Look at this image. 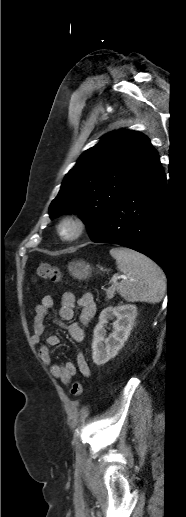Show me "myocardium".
<instances>
[{
    "label": "myocardium",
    "mask_w": 186,
    "mask_h": 517,
    "mask_svg": "<svg viewBox=\"0 0 186 517\" xmlns=\"http://www.w3.org/2000/svg\"><path fill=\"white\" fill-rule=\"evenodd\" d=\"M85 227V221L81 216L66 214L57 224V233L63 241L73 242L82 236Z\"/></svg>",
    "instance_id": "myocardium-1"
}]
</instances>
